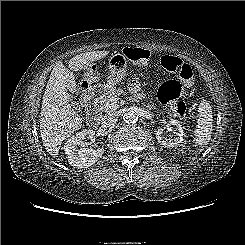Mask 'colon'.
Segmentation results:
<instances>
[{"label": "colon", "mask_w": 245, "mask_h": 245, "mask_svg": "<svg viewBox=\"0 0 245 245\" xmlns=\"http://www.w3.org/2000/svg\"><path fill=\"white\" fill-rule=\"evenodd\" d=\"M125 55L129 59L141 63H147L150 58V52L144 49H127ZM160 64L165 70L176 74L178 80L164 82L158 91L159 99L168 104L176 115L184 117L187 113V105L180 96L183 93V87L191 88L193 86V70L189 64L171 55L162 56Z\"/></svg>", "instance_id": "colon-1"}]
</instances>
